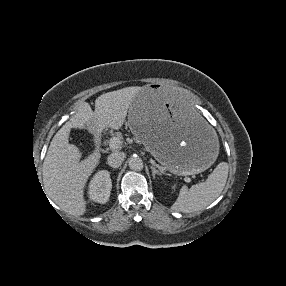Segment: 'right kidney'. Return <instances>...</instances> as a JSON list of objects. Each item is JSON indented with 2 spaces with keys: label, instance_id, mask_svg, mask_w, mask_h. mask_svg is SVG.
<instances>
[{
  "label": "right kidney",
  "instance_id": "ca27d5eb",
  "mask_svg": "<svg viewBox=\"0 0 286 286\" xmlns=\"http://www.w3.org/2000/svg\"><path fill=\"white\" fill-rule=\"evenodd\" d=\"M112 189L110 173L106 170L97 172L89 185V197L98 203H106L109 200Z\"/></svg>",
  "mask_w": 286,
  "mask_h": 286
}]
</instances>
